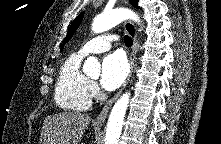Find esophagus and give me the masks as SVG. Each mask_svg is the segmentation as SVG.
Instances as JSON below:
<instances>
[{"instance_id": "obj_1", "label": "esophagus", "mask_w": 221, "mask_h": 144, "mask_svg": "<svg viewBox=\"0 0 221 144\" xmlns=\"http://www.w3.org/2000/svg\"><path fill=\"white\" fill-rule=\"evenodd\" d=\"M124 27L133 41L132 49H131V53H130V59H129V61H130L129 74H128L125 82L123 83L122 87L120 88V90L105 104V106L102 108L101 112L97 116L95 121L98 124L104 123V121L107 118L109 110L111 109L112 105L117 100V98L120 96V94L122 93V91L124 90L126 85L128 84V82L131 78L132 72H133L134 62H135V58H136V54H137V33H136V28L131 21H126L124 24Z\"/></svg>"}]
</instances>
